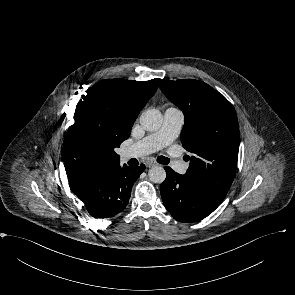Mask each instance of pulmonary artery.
Returning <instances> with one entry per match:
<instances>
[{
  "label": "pulmonary artery",
  "instance_id": "pulmonary-artery-1",
  "mask_svg": "<svg viewBox=\"0 0 295 295\" xmlns=\"http://www.w3.org/2000/svg\"><path fill=\"white\" fill-rule=\"evenodd\" d=\"M183 123L184 115L179 108H167L160 129L125 148L122 152V158L129 159L144 156L164 148L178 137ZM173 168L176 172L184 174L188 170V164L180 160H175L173 162Z\"/></svg>",
  "mask_w": 295,
  "mask_h": 295
}]
</instances>
